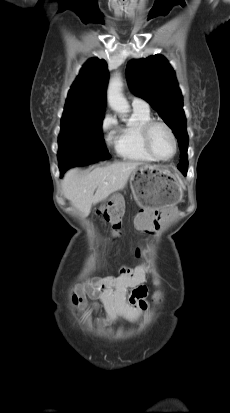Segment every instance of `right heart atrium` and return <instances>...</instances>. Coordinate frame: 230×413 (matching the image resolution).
I'll return each mask as SVG.
<instances>
[{"instance_id":"1","label":"right heart atrium","mask_w":230,"mask_h":413,"mask_svg":"<svg viewBox=\"0 0 230 413\" xmlns=\"http://www.w3.org/2000/svg\"><path fill=\"white\" fill-rule=\"evenodd\" d=\"M116 125V119L110 114H107L102 120L101 130L107 144H112L116 138Z\"/></svg>"}]
</instances>
